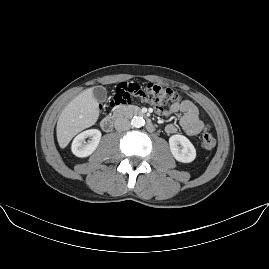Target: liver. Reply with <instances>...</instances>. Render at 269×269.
<instances>
[{"instance_id":"liver-1","label":"liver","mask_w":269,"mask_h":269,"mask_svg":"<svg viewBox=\"0 0 269 269\" xmlns=\"http://www.w3.org/2000/svg\"><path fill=\"white\" fill-rule=\"evenodd\" d=\"M99 117V103L93 88L84 90L62 111L57 122V140L65 148L80 131L94 125Z\"/></svg>"}]
</instances>
